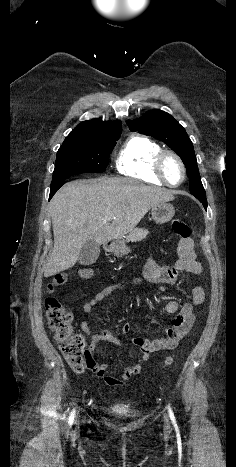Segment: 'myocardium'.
Segmentation results:
<instances>
[{
	"instance_id": "f54148a6",
	"label": "myocardium",
	"mask_w": 236,
	"mask_h": 467,
	"mask_svg": "<svg viewBox=\"0 0 236 467\" xmlns=\"http://www.w3.org/2000/svg\"><path fill=\"white\" fill-rule=\"evenodd\" d=\"M173 157L180 165L181 167V170H182V179L179 183L177 184H172L170 183L166 176H165V173H164V169H163V164H164V160L166 159V157ZM154 172L156 174V176L167 186L169 187H179L180 185H182L186 179V176H187V170H186V166L183 162V160L181 159V157L175 153L174 151L172 150H161L156 158H155V161H154Z\"/></svg>"
}]
</instances>
